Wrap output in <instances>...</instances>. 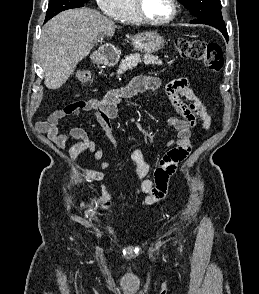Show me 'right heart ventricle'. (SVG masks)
Segmentation results:
<instances>
[{"label":"right heart ventricle","mask_w":259,"mask_h":294,"mask_svg":"<svg viewBox=\"0 0 259 294\" xmlns=\"http://www.w3.org/2000/svg\"><path fill=\"white\" fill-rule=\"evenodd\" d=\"M116 19L122 23L137 24L139 20L137 19L132 0H122L120 10L116 16Z\"/></svg>","instance_id":"right-heart-ventricle-1"}]
</instances>
